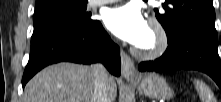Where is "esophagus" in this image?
Wrapping results in <instances>:
<instances>
[{"instance_id":"esophagus-1","label":"esophagus","mask_w":221,"mask_h":102,"mask_svg":"<svg viewBox=\"0 0 221 102\" xmlns=\"http://www.w3.org/2000/svg\"><path fill=\"white\" fill-rule=\"evenodd\" d=\"M122 76L125 79H135L138 77L133 60L124 52L121 51Z\"/></svg>"}]
</instances>
